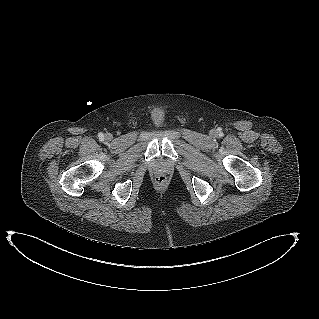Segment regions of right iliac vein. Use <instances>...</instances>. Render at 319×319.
Instances as JSON below:
<instances>
[{
  "label": "right iliac vein",
  "instance_id": "1",
  "mask_svg": "<svg viewBox=\"0 0 319 319\" xmlns=\"http://www.w3.org/2000/svg\"><path fill=\"white\" fill-rule=\"evenodd\" d=\"M112 134H110V133H107L106 135H105V139L106 140H108V141H110L111 139H112Z\"/></svg>",
  "mask_w": 319,
  "mask_h": 319
}]
</instances>
